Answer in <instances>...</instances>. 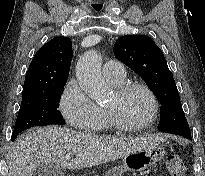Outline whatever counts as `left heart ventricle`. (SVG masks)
<instances>
[{"label":"left heart ventricle","mask_w":205,"mask_h":176,"mask_svg":"<svg viewBox=\"0 0 205 176\" xmlns=\"http://www.w3.org/2000/svg\"><path fill=\"white\" fill-rule=\"evenodd\" d=\"M107 107H115L123 119L132 124L146 121L152 111L148 95L141 90H135L122 98L115 93Z\"/></svg>","instance_id":"1"}]
</instances>
